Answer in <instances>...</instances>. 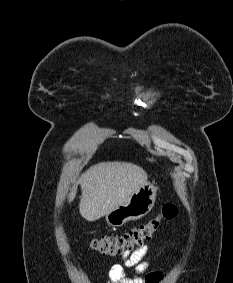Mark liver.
<instances>
[{
  "label": "liver",
  "instance_id": "liver-1",
  "mask_svg": "<svg viewBox=\"0 0 233 283\" xmlns=\"http://www.w3.org/2000/svg\"><path fill=\"white\" fill-rule=\"evenodd\" d=\"M147 181L146 172L129 162H101L91 166L78 180L81 185L79 212L92 222L100 219L126 200ZM74 185L69 202L76 196Z\"/></svg>",
  "mask_w": 233,
  "mask_h": 283
}]
</instances>
